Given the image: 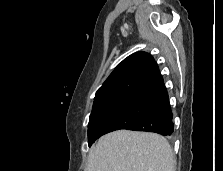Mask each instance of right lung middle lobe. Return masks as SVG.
<instances>
[{
	"label": "right lung middle lobe",
	"instance_id": "1",
	"mask_svg": "<svg viewBox=\"0 0 223 171\" xmlns=\"http://www.w3.org/2000/svg\"><path fill=\"white\" fill-rule=\"evenodd\" d=\"M135 98L131 95H116L94 101L88 124L89 146L101 137L104 128Z\"/></svg>",
	"mask_w": 223,
	"mask_h": 171
}]
</instances>
